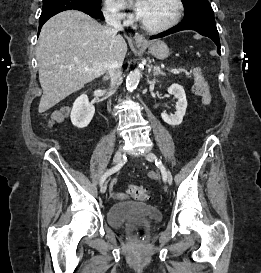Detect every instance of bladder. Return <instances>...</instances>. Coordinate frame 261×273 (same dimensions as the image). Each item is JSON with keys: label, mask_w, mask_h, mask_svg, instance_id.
<instances>
[{"label": "bladder", "mask_w": 261, "mask_h": 273, "mask_svg": "<svg viewBox=\"0 0 261 273\" xmlns=\"http://www.w3.org/2000/svg\"><path fill=\"white\" fill-rule=\"evenodd\" d=\"M107 219L111 226L121 228L131 219H145L150 223H157L161 220V214L147 204L124 201L114 204L108 210Z\"/></svg>", "instance_id": "obj_1"}]
</instances>
